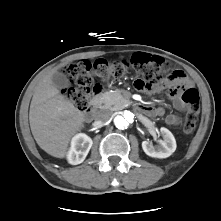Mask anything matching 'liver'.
Masks as SVG:
<instances>
[{
	"instance_id": "obj_1",
	"label": "liver",
	"mask_w": 221,
	"mask_h": 221,
	"mask_svg": "<svg viewBox=\"0 0 221 221\" xmlns=\"http://www.w3.org/2000/svg\"><path fill=\"white\" fill-rule=\"evenodd\" d=\"M55 72L57 68L46 74L35 87L29 122L39 147L53 157L64 158L71 138L83 127L85 116L53 85Z\"/></svg>"
}]
</instances>
